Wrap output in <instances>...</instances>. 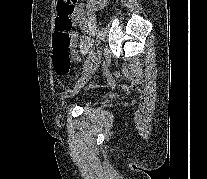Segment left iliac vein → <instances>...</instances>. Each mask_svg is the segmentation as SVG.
<instances>
[{"label":"left iliac vein","mask_w":207,"mask_h":179,"mask_svg":"<svg viewBox=\"0 0 207 179\" xmlns=\"http://www.w3.org/2000/svg\"><path fill=\"white\" fill-rule=\"evenodd\" d=\"M102 59V56L100 53L95 54V60L93 64H90L84 74L81 76V78L76 82L74 88H73V93L77 94L80 89L91 79L93 74L98 68L99 62Z\"/></svg>","instance_id":"4c4485c4"}]
</instances>
